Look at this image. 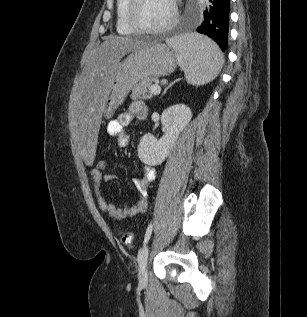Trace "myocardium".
<instances>
[{
  "instance_id": "1",
  "label": "myocardium",
  "mask_w": 307,
  "mask_h": 317,
  "mask_svg": "<svg viewBox=\"0 0 307 317\" xmlns=\"http://www.w3.org/2000/svg\"><path fill=\"white\" fill-rule=\"evenodd\" d=\"M142 0H129L126 8V18L128 25L136 33L148 34V35H159L170 31L177 23L179 19V10L176 0H170L172 5V16L170 20L159 28H149L143 26L138 20V9Z\"/></svg>"
}]
</instances>
